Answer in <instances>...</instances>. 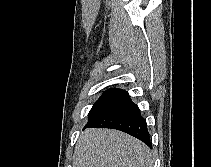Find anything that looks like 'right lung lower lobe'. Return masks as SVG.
Here are the masks:
<instances>
[{
    "label": "right lung lower lobe",
    "instance_id": "98d812e1",
    "mask_svg": "<svg viewBox=\"0 0 211 167\" xmlns=\"http://www.w3.org/2000/svg\"><path fill=\"white\" fill-rule=\"evenodd\" d=\"M87 127L121 130L152 147L146 120L142 117L138 106L131 101L127 92L96 119L88 122L84 129Z\"/></svg>",
    "mask_w": 211,
    "mask_h": 167
}]
</instances>
